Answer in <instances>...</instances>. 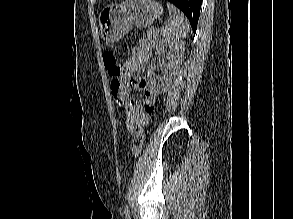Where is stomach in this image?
I'll list each match as a JSON object with an SVG mask.
<instances>
[{
  "label": "stomach",
  "instance_id": "0dacf381",
  "mask_svg": "<svg viewBox=\"0 0 293 219\" xmlns=\"http://www.w3.org/2000/svg\"><path fill=\"white\" fill-rule=\"evenodd\" d=\"M162 13V5L155 0H126L109 5L99 14L101 36L107 42H117L133 25L149 27Z\"/></svg>",
  "mask_w": 293,
  "mask_h": 219
}]
</instances>
